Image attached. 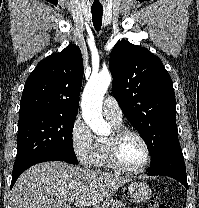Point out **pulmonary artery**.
<instances>
[{"instance_id":"pulmonary-artery-1","label":"pulmonary artery","mask_w":199,"mask_h":208,"mask_svg":"<svg viewBox=\"0 0 199 208\" xmlns=\"http://www.w3.org/2000/svg\"><path fill=\"white\" fill-rule=\"evenodd\" d=\"M103 113L115 125H122L123 113L113 97H106L103 101Z\"/></svg>"}]
</instances>
